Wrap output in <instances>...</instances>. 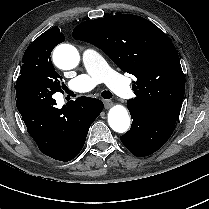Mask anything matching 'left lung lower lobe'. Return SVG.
<instances>
[{
    "label": "left lung lower lobe",
    "mask_w": 209,
    "mask_h": 209,
    "mask_svg": "<svg viewBox=\"0 0 209 209\" xmlns=\"http://www.w3.org/2000/svg\"><path fill=\"white\" fill-rule=\"evenodd\" d=\"M133 119L130 130L120 137L124 146L135 156H148L160 149L170 138L175 123L154 116L127 104Z\"/></svg>",
    "instance_id": "left-lung-lower-lobe-1"
}]
</instances>
